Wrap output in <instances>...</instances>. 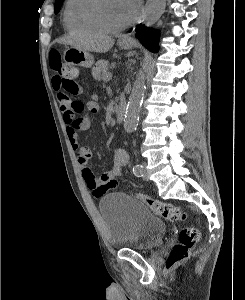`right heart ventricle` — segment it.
Wrapping results in <instances>:
<instances>
[{
	"mask_svg": "<svg viewBox=\"0 0 245 300\" xmlns=\"http://www.w3.org/2000/svg\"><path fill=\"white\" fill-rule=\"evenodd\" d=\"M92 0H67L64 10V25L74 33H99L90 18Z\"/></svg>",
	"mask_w": 245,
	"mask_h": 300,
	"instance_id": "right-heart-ventricle-1",
	"label": "right heart ventricle"
}]
</instances>
